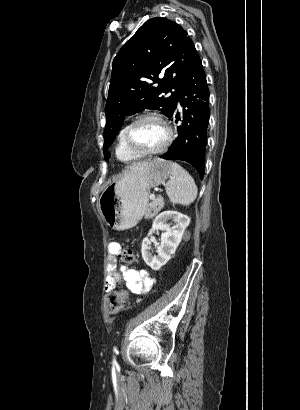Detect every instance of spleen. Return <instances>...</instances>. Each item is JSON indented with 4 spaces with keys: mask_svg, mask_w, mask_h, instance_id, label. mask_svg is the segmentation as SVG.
I'll use <instances>...</instances> for the list:
<instances>
[{
    "mask_svg": "<svg viewBox=\"0 0 300 410\" xmlns=\"http://www.w3.org/2000/svg\"><path fill=\"white\" fill-rule=\"evenodd\" d=\"M165 189L173 204L188 206L197 197V186L194 179L177 163H171V177Z\"/></svg>",
    "mask_w": 300,
    "mask_h": 410,
    "instance_id": "3e777b00",
    "label": "spleen"
}]
</instances>
